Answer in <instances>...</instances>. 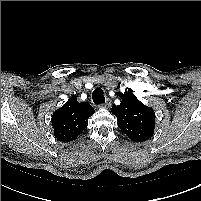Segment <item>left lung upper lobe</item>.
<instances>
[{
	"label": "left lung upper lobe",
	"mask_w": 201,
	"mask_h": 201,
	"mask_svg": "<svg viewBox=\"0 0 201 201\" xmlns=\"http://www.w3.org/2000/svg\"><path fill=\"white\" fill-rule=\"evenodd\" d=\"M119 96L122 98L121 104L111 108L119 128L135 142L151 138L155 128L153 109L139 101L131 91Z\"/></svg>",
	"instance_id": "5c2ea615"
}]
</instances>
